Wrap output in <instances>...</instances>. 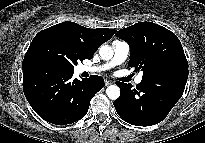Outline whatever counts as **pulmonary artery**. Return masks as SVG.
<instances>
[{
    "instance_id": "e3ab8cb5",
    "label": "pulmonary artery",
    "mask_w": 205,
    "mask_h": 143,
    "mask_svg": "<svg viewBox=\"0 0 205 143\" xmlns=\"http://www.w3.org/2000/svg\"><path fill=\"white\" fill-rule=\"evenodd\" d=\"M112 49H113V58L102 65L97 66H80L79 71L80 72H88V73H95V72H101L106 71L116 65H119L123 63L129 54V45L125 41L116 40L112 43ZM142 81V75L139 74L135 78V83L139 84Z\"/></svg>"
}]
</instances>
